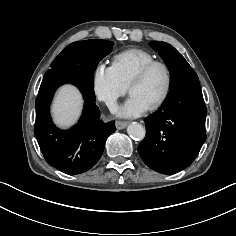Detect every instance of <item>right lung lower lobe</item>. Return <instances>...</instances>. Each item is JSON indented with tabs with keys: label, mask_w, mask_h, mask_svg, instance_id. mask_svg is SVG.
<instances>
[{
	"label": "right lung lower lobe",
	"mask_w": 236,
	"mask_h": 236,
	"mask_svg": "<svg viewBox=\"0 0 236 236\" xmlns=\"http://www.w3.org/2000/svg\"><path fill=\"white\" fill-rule=\"evenodd\" d=\"M76 85L84 98L83 114L73 128L58 129L51 120L49 107L56 89L64 84ZM35 136L46 161L66 174H80L91 169L103 153L115 122L103 123L95 104L93 75L82 70L47 71L35 101Z\"/></svg>",
	"instance_id": "98d812e1"
}]
</instances>
